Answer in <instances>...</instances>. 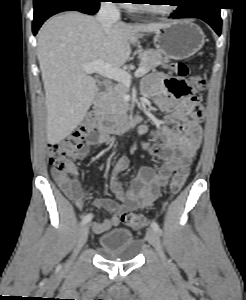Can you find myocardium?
Masks as SVG:
<instances>
[{
  "label": "myocardium",
  "mask_w": 246,
  "mask_h": 300,
  "mask_svg": "<svg viewBox=\"0 0 246 300\" xmlns=\"http://www.w3.org/2000/svg\"><path fill=\"white\" fill-rule=\"evenodd\" d=\"M140 9H142L143 11H145L149 14H152V15L169 16V15H172L176 11L177 5L172 4V5H170L169 9L164 10V11L154 10L149 5H140Z\"/></svg>",
  "instance_id": "obj_1"
}]
</instances>
